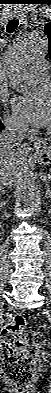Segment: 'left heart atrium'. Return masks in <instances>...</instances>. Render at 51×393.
Segmentation results:
<instances>
[{"mask_svg":"<svg viewBox=\"0 0 51 393\" xmlns=\"http://www.w3.org/2000/svg\"><path fill=\"white\" fill-rule=\"evenodd\" d=\"M16 114L26 123L47 127L51 122V102L44 90H37L13 101Z\"/></svg>","mask_w":51,"mask_h":393,"instance_id":"1","label":"left heart atrium"}]
</instances>
